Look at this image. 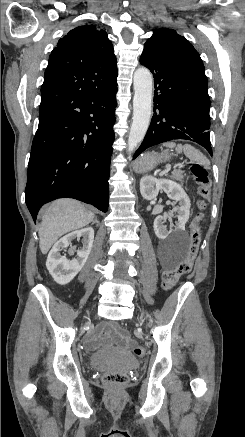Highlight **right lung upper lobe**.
Returning a JSON list of instances; mask_svg holds the SVG:
<instances>
[{
	"label": "right lung upper lobe",
	"instance_id": "cb5924a9",
	"mask_svg": "<svg viewBox=\"0 0 245 437\" xmlns=\"http://www.w3.org/2000/svg\"><path fill=\"white\" fill-rule=\"evenodd\" d=\"M116 63L113 45L104 30L92 24L74 28L49 56L39 113L109 86L117 78Z\"/></svg>",
	"mask_w": 245,
	"mask_h": 437
}]
</instances>
